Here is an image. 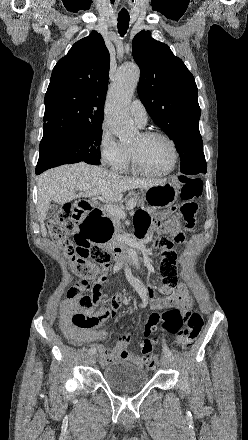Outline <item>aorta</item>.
<instances>
[{"mask_svg": "<svg viewBox=\"0 0 248 440\" xmlns=\"http://www.w3.org/2000/svg\"><path fill=\"white\" fill-rule=\"evenodd\" d=\"M140 70L133 63L123 65L117 72L108 95L106 118L110 130L121 143H131L138 130L129 115V104L137 87Z\"/></svg>", "mask_w": 248, "mask_h": 440, "instance_id": "aorta-1", "label": "aorta"}]
</instances>
